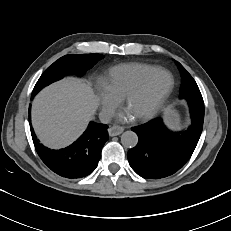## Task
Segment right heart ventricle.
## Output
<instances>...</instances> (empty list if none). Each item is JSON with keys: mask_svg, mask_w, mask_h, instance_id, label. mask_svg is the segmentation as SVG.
Segmentation results:
<instances>
[{"mask_svg": "<svg viewBox=\"0 0 231 231\" xmlns=\"http://www.w3.org/2000/svg\"><path fill=\"white\" fill-rule=\"evenodd\" d=\"M158 69L157 66L143 63L117 65L109 70L103 83L109 92L121 99L142 79Z\"/></svg>", "mask_w": 231, "mask_h": 231, "instance_id": "obj_1", "label": "right heart ventricle"}]
</instances>
